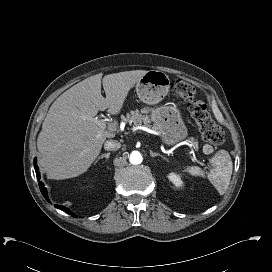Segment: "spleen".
Masks as SVG:
<instances>
[{
  "instance_id": "1",
  "label": "spleen",
  "mask_w": 272,
  "mask_h": 272,
  "mask_svg": "<svg viewBox=\"0 0 272 272\" xmlns=\"http://www.w3.org/2000/svg\"><path fill=\"white\" fill-rule=\"evenodd\" d=\"M212 162L216 165V168L208 174V179L220 194H224L232 175L233 165L231 157L227 151L220 150L212 158ZM185 172L192 176L204 175V172L197 166H188Z\"/></svg>"
}]
</instances>
